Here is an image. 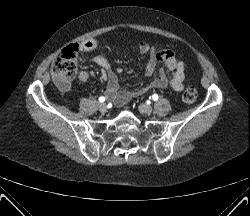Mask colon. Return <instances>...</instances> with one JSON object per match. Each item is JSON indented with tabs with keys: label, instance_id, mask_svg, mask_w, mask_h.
Masks as SVG:
<instances>
[{
	"label": "colon",
	"instance_id": "colon-1",
	"mask_svg": "<svg viewBox=\"0 0 250 216\" xmlns=\"http://www.w3.org/2000/svg\"><path fill=\"white\" fill-rule=\"evenodd\" d=\"M78 51V45H71L65 48L57 57L52 66V73L56 79L66 81L74 76ZM197 96L196 88L192 85H187L183 92L182 99L185 103H193L197 99Z\"/></svg>",
	"mask_w": 250,
	"mask_h": 216
}]
</instances>
